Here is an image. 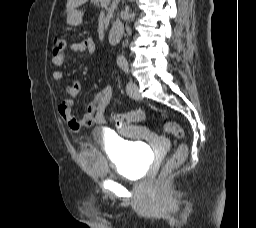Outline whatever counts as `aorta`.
<instances>
[{
    "instance_id": "aorta-1",
    "label": "aorta",
    "mask_w": 256,
    "mask_h": 228,
    "mask_svg": "<svg viewBox=\"0 0 256 228\" xmlns=\"http://www.w3.org/2000/svg\"><path fill=\"white\" fill-rule=\"evenodd\" d=\"M125 61H126V60H125L124 56L119 55V56L117 57V64H118V65L124 64Z\"/></svg>"
}]
</instances>
